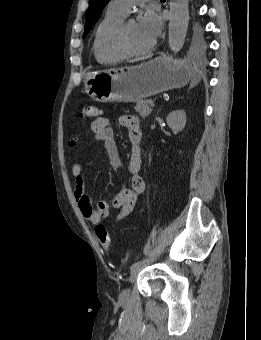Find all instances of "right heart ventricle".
Instances as JSON below:
<instances>
[{
  "label": "right heart ventricle",
  "instance_id": "obj_1",
  "mask_svg": "<svg viewBox=\"0 0 261 340\" xmlns=\"http://www.w3.org/2000/svg\"><path fill=\"white\" fill-rule=\"evenodd\" d=\"M125 17L109 7L97 25L92 43V51L98 63L104 65L112 64L124 58L112 50L110 40L114 29Z\"/></svg>",
  "mask_w": 261,
  "mask_h": 340
}]
</instances>
